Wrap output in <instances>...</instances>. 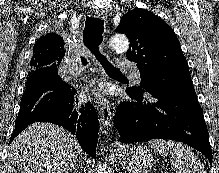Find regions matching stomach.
I'll return each instance as SVG.
<instances>
[{
	"label": "stomach",
	"instance_id": "1",
	"mask_svg": "<svg viewBox=\"0 0 219 173\" xmlns=\"http://www.w3.org/2000/svg\"><path fill=\"white\" fill-rule=\"evenodd\" d=\"M117 157L129 173H148L154 164L152 153L142 145L121 147Z\"/></svg>",
	"mask_w": 219,
	"mask_h": 173
}]
</instances>
